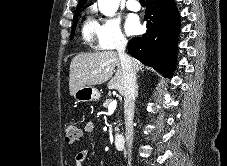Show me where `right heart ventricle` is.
I'll return each mask as SVG.
<instances>
[{
  "instance_id": "1",
  "label": "right heart ventricle",
  "mask_w": 227,
  "mask_h": 166,
  "mask_svg": "<svg viewBox=\"0 0 227 166\" xmlns=\"http://www.w3.org/2000/svg\"><path fill=\"white\" fill-rule=\"evenodd\" d=\"M82 37L91 48L98 47L96 42V22L93 19L87 18L84 21L82 25Z\"/></svg>"
}]
</instances>
